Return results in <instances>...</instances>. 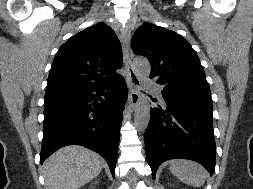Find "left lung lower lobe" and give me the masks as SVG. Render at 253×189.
<instances>
[{"label":"left lung lower lobe","mask_w":253,"mask_h":189,"mask_svg":"<svg viewBox=\"0 0 253 189\" xmlns=\"http://www.w3.org/2000/svg\"><path fill=\"white\" fill-rule=\"evenodd\" d=\"M162 101L163 108H151L145 131L146 155L153 179L164 161L175 158L194 160L213 175L216 145L212 107L165 93Z\"/></svg>","instance_id":"0a47b994"}]
</instances>
